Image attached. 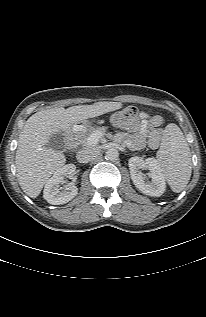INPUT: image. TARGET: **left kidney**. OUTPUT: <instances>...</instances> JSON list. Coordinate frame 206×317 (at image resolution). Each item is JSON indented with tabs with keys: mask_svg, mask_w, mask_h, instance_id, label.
<instances>
[{
	"mask_svg": "<svg viewBox=\"0 0 206 317\" xmlns=\"http://www.w3.org/2000/svg\"><path fill=\"white\" fill-rule=\"evenodd\" d=\"M131 179L137 189L142 193L159 197L166 189V183L162 171L154 158L143 159L135 156L131 157L128 162ZM140 169H147L150 171L149 177L151 182L145 181L144 174Z\"/></svg>",
	"mask_w": 206,
	"mask_h": 317,
	"instance_id": "1",
	"label": "left kidney"
}]
</instances>
